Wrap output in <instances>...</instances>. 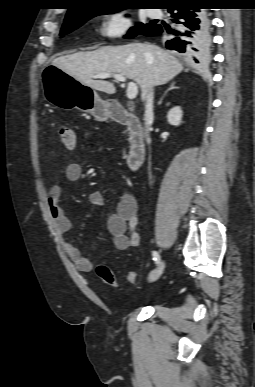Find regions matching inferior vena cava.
I'll list each match as a JSON object with an SVG mask.
<instances>
[{
  "mask_svg": "<svg viewBox=\"0 0 255 387\" xmlns=\"http://www.w3.org/2000/svg\"><path fill=\"white\" fill-rule=\"evenodd\" d=\"M143 98L145 99V125H146V137L147 141H150L149 131H150V122L153 120V99H154V91L153 87H149V89L144 94Z\"/></svg>",
  "mask_w": 255,
  "mask_h": 387,
  "instance_id": "602c4592",
  "label": "inferior vena cava"
}]
</instances>
